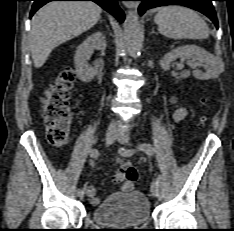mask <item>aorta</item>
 <instances>
[{
  "label": "aorta",
  "mask_w": 234,
  "mask_h": 231,
  "mask_svg": "<svg viewBox=\"0 0 234 231\" xmlns=\"http://www.w3.org/2000/svg\"><path fill=\"white\" fill-rule=\"evenodd\" d=\"M124 39L133 57H137L141 50V26L136 10L129 11L124 22Z\"/></svg>",
  "instance_id": "1"
}]
</instances>
